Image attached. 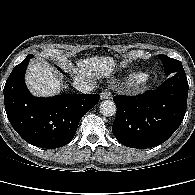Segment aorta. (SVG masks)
I'll return each mask as SVG.
<instances>
[{"label":"aorta","instance_id":"762f6f07","mask_svg":"<svg viewBox=\"0 0 195 195\" xmlns=\"http://www.w3.org/2000/svg\"><path fill=\"white\" fill-rule=\"evenodd\" d=\"M100 113L106 117L114 116L116 114V105L111 100L102 101L100 104Z\"/></svg>","mask_w":195,"mask_h":195}]
</instances>
